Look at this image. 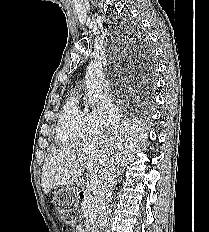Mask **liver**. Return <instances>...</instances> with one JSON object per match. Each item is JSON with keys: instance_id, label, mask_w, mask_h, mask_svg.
Segmentation results:
<instances>
[{"instance_id": "6515ba94", "label": "liver", "mask_w": 209, "mask_h": 232, "mask_svg": "<svg viewBox=\"0 0 209 232\" xmlns=\"http://www.w3.org/2000/svg\"><path fill=\"white\" fill-rule=\"evenodd\" d=\"M126 133H134L129 125H124L120 133L99 135L74 142L53 150L42 167L41 185L47 194L54 186L69 185L81 179L84 166L90 175L96 174L101 181L109 166L124 165L122 156L124 141H132Z\"/></svg>"}]
</instances>
